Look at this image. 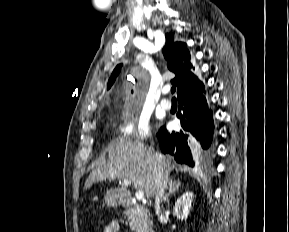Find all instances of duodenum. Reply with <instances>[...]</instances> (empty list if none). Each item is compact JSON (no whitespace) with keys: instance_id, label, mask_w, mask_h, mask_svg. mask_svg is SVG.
I'll use <instances>...</instances> for the list:
<instances>
[{"instance_id":"1","label":"duodenum","mask_w":289,"mask_h":232,"mask_svg":"<svg viewBox=\"0 0 289 232\" xmlns=\"http://www.w3.org/2000/svg\"><path fill=\"white\" fill-rule=\"evenodd\" d=\"M118 200L123 206H131L133 204L132 196L128 191H122L118 196Z\"/></svg>"}]
</instances>
